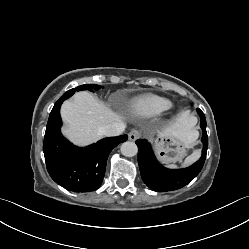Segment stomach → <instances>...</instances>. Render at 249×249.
I'll use <instances>...</instances> for the list:
<instances>
[{"label":"stomach","instance_id":"stomach-1","mask_svg":"<svg viewBox=\"0 0 249 249\" xmlns=\"http://www.w3.org/2000/svg\"><path fill=\"white\" fill-rule=\"evenodd\" d=\"M155 150L159 159L164 162H177L181 160L188 145L181 136L159 134L155 140Z\"/></svg>","mask_w":249,"mask_h":249}]
</instances>
